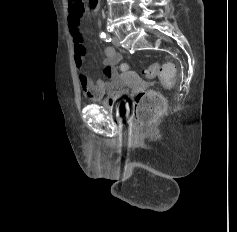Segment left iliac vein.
Instances as JSON below:
<instances>
[{"label": "left iliac vein", "mask_w": 237, "mask_h": 232, "mask_svg": "<svg viewBox=\"0 0 237 232\" xmlns=\"http://www.w3.org/2000/svg\"><path fill=\"white\" fill-rule=\"evenodd\" d=\"M112 43H113V45L116 46V47H119V46H120L119 39H118L117 36H113V37H112Z\"/></svg>", "instance_id": "1"}]
</instances>
